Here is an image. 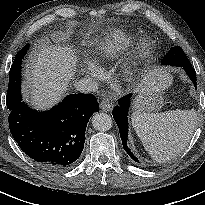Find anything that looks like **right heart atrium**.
I'll return each mask as SVG.
<instances>
[{"instance_id": "1", "label": "right heart atrium", "mask_w": 205, "mask_h": 205, "mask_svg": "<svg viewBox=\"0 0 205 205\" xmlns=\"http://www.w3.org/2000/svg\"><path fill=\"white\" fill-rule=\"evenodd\" d=\"M86 73L91 74V73H92V70H91V69H89V68H86Z\"/></svg>"}]
</instances>
